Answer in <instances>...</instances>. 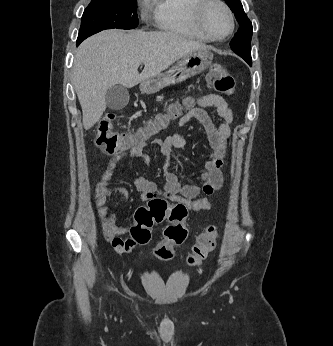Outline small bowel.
<instances>
[{"mask_svg": "<svg viewBox=\"0 0 333 346\" xmlns=\"http://www.w3.org/2000/svg\"><path fill=\"white\" fill-rule=\"evenodd\" d=\"M215 108L220 121L214 122L204 108ZM192 119L197 120L204 127L208 143L210 146V156L204 162L205 171L202 174V183L182 184L173 172L169 157L174 148H181L185 145L184 137L175 131L166 139H154L150 145L161 155L167 158L162 167V174L165 183L162 187L147 178L138 177L135 187L141 193L143 202L151 198L160 196L168 199L173 204H180L187 211L200 212L209 210L211 202L207 197H199L200 193L211 196L223 185V175L221 167L226 153L225 142L231 137L230 124L232 122V110L222 97L217 94L205 92L202 96L192 99L188 112L174 120L176 129H180L188 124ZM146 144L133 149L125 154L115 155L102 174L97 184L95 206L97 215L101 223L102 233L109 245L114 250V254H133L136 249V236L132 235L131 227L122 225L107 205L108 199L113 194H120L126 200L129 196L126 188L122 186H110V182L116 172L124 170L121 160L125 157H133L141 160L144 164L151 163V156L145 151ZM118 238V239H117Z\"/></svg>", "mask_w": 333, "mask_h": 346, "instance_id": "c3829d8e", "label": "small bowel"}]
</instances>
